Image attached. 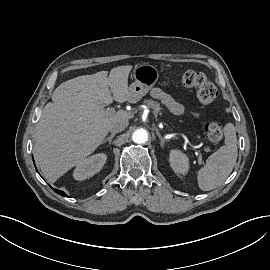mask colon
Masks as SVG:
<instances>
[{
  "instance_id": "colon-1",
  "label": "colon",
  "mask_w": 270,
  "mask_h": 270,
  "mask_svg": "<svg viewBox=\"0 0 270 270\" xmlns=\"http://www.w3.org/2000/svg\"><path fill=\"white\" fill-rule=\"evenodd\" d=\"M183 86L193 89L196 92L197 100L201 105L211 103L217 96V89L215 85L208 79V77L197 71H187L181 78ZM202 128L207 134L209 140L212 142H220L223 138L222 124L214 120H204Z\"/></svg>"
}]
</instances>
